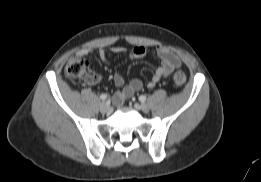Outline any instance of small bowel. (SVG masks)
<instances>
[{
	"mask_svg": "<svg viewBox=\"0 0 261 182\" xmlns=\"http://www.w3.org/2000/svg\"><path fill=\"white\" fill-rule=\"evenodd\" d=\"M109 51L115 54L125 53L127 50L122 46H113L109 48ZM95 52V49L92 47H86L79 50L76 53V57L84 58L85 56L92 54ZM155 52L160 60L159 65L157 66L151 80L147 83L149 88H153L158 81L170 75L173 70L179 68L181 66L180 58L169 50L166 47L158 46L155 49ZM98 57L101 61H108L107 50L100 48L97 50ZM147 54V49L143 46H138L133 48L129 52V57L131 59H140ZM114 84L120 88L118 92L113 97V100L116 104H122L125 99L133 95L135 92L139 91L143 87V83L140 79L134 78L127 85H125V79L122 72L117 71L114 74ZM100 81V77L98 75H91L87 80L90 84H96Z\"/></svg>",
	"mask_w": 261,
	"mask_h": 182,
	"instance_id": "1",
	"label": "small bowel"
}]
</instances>
